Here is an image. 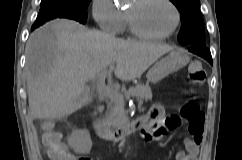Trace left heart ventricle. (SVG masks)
<instances>
[{
	"label": "left heart ventricle",
	"mask_w": 242,
	"mask_h": 160,
	"mask_svg": "<svg viewBox=\"0 0 242 160\" xmlns=\"http://www.w3.org/2000/svg\"><path fill=\"white\" fill-rule=\"evenodd\" d=\"M127 12L133 15L140 29L149 34L167 33L175 23V13L164 0H133Z\"/></svg>",
	"instance_id": "1"
}]
</instances>
